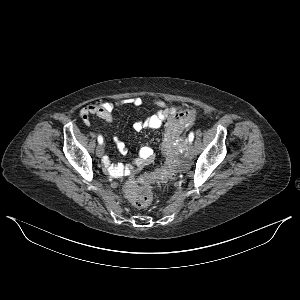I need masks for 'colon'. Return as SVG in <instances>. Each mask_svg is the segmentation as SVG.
Returning <instances> with one entry per match:
<instances>
[{"mask_svg":"<svg viewBox=\"0 0 300 300\" xmlns=\"http://www.w3.org/2000/svg\"><path fill=\"white\" fill-rule=\"evenodd\" d=\"M194 109L175 114L167 125L163 150L167 156L166 167L144 174L126 187V194L136 207H145L151 201L150 185L165 184L175 173L178 164L177 141L184 129L194 120Z\"/></svg>","mask_w":300,"mask_h":300,"instance_id":"obj_1","label":"colon"}]
</instances>
